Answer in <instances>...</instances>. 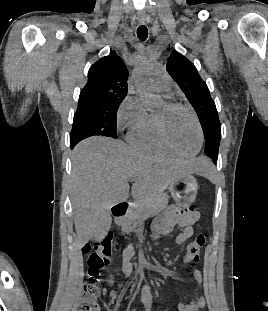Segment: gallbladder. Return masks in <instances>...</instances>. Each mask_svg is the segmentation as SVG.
Returning <instances> with one entry per match:
<instances>
[{
  "instance_id": "bac80fb5",
  "label": "gallbladder",
  "mask_w": 268,
  "mask_h": 311,
  "mask_svg": "<svg viewBox=\"0 0 268 311\" xmlns=\"http://www.w3.org/2000/svg\"><path fill=\"white\" fill-rule=\"evenodd\" d=\"M110 223V216L107 214V211H103L99 219L96 220L94 239H101L102 234H107ZM94 243L97 245L99 242L96 240Z\"/></svg>"
}]
</instances>
